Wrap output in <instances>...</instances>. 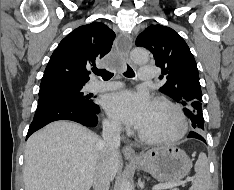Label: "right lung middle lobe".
Wrapping results in <instances>:
<instances>
[{
	"label": "right lung middle lobe",
	"instance_id": "1",
	"mask_svg": "<svg viewBox=\"0 0 234 190\" xmlns=\"http://www.w3.org/2000/svg\"><path fill=\"white\" fill-rule=\"evenodd\" d=\"M83 86L84 84L57 79L41 82L37 107L51 100L71 101L85 107L94 106L92 96L85 95L81 91Z\"/></svg>",
	"mask_w": 234,
	"mask_h": 190
}]
</instances>
